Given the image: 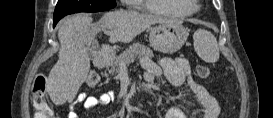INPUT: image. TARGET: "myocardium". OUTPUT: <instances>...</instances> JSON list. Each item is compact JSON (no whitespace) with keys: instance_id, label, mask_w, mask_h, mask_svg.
Masks as SVG:
<instances>
[{"instance_id":"1","label":"myocardium","mask_w":273,"mask_h":118,"mask_svg":"<svg viewBox=\"0 0 273 118\" xmlns=\"http://www.w3.org/2000/svg\"><path fill=\"white\" fill-rule=\"evenodd\" d=\"M190 3V8L194 11V10H197L200 8V6L196 3V2H193L191 4V1H188Z\"/></svg>"}]
</instances>
